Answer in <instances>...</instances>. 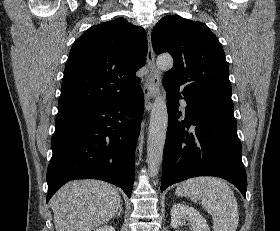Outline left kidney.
<instances>
[{"instance_id":"5707ae66","label":"left kidney","mask_w":280,"mask_h":231,"mask_svg":"<svg viewBox=\"0 0 280 231\" xmlns=\"http://www.w3.org/2000/svg\"><path fill=\"white\" fill-rule=\"evenodd\" d=\"M188 221L192 231H210V227L205 219L200 215L197 209L183 205V203H175L171 209V225L179 227Z\"/></svg>"}]
</instances>
